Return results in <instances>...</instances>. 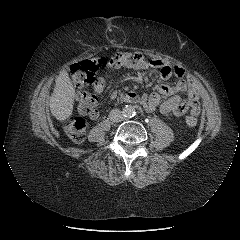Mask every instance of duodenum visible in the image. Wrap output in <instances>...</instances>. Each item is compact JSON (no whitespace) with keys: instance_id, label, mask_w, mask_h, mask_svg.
<instances>
[{"instance_id":"duodenum-1","label":"duodenum","mask_w":240,"mask_h":240,"mask_svg":"<svg viewBox=\"0 0 240 240\" xmlns=\"http://www.w3.org/2000/svg\"><path fill=\"white\" fill-rule=\"evenodd\" d=\"M123 100L128 103H138L139 97L135 93H129L123 97Z\"/></svg>"}]
</instances>
